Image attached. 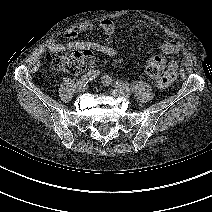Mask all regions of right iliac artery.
I'll use <instances>...</instances> for the list:
<instances>
[{
	"mask_svg": "<svg viewBox=\"0 0 212 212\" xmlns=\"http://www.w3.org/2000/svg\"><path fill=\"white\" fill-rule=\"evenodd\" d=\"M99 70H92L86 73L77 81V89L85 87L91 80L99 76Z\"/></svg>",
	"mask_w": 212,
	"mask_h": 212,
	"instance_id": "82829eb1",
	"label": "right iliac artery"
}]
</instances>
